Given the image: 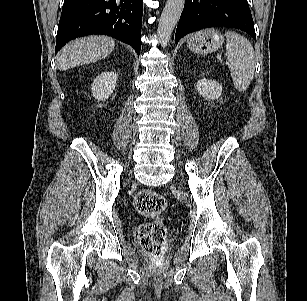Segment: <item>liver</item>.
Here are the masks:
<instances>
[{"label":"liver","mask_w":307,"mask_h":301,"mask_svg":"<svg viewBox=\"0 0 307 301\" xmlns=\"http://www.w3.org/2000/svg\"><path fill=\"white\" fill-rule=\"evenodd\" d=\"M115 47L114 39L93 35L74 40L61 49L57 57V66L65 71L75 66L96 62L107 57Z\"/></svg>","instance_id":"1"}]
</instances>
